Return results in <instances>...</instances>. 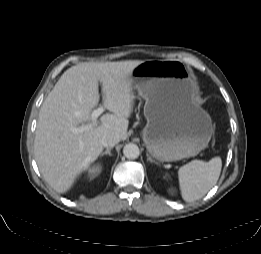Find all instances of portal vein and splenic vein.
<instances>
[{
	"instance_id": "1",
	"label": "portal vein and splenic vein",
	"mask_w": 261,
	"mask_h": 254,
	"mask_svg": "<svg viewBox=\"0 0 261 254\" xmlns=\"http://www.w3.org/2000/svg\"><path fill=\"white\" fill-rule=\"evenodd\" d=\"M105 111V108L103 106L95 109L92 114H91V120L93 122V124H95L97 122L98 117ZM84 127H80V128H76L75 131H83Z\"/></svg>"
}]
</instances>
